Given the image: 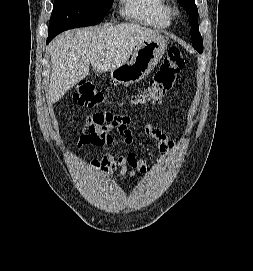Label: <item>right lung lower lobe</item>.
<instances>
[{
	"label": "right lung lower lobe",
	"instance_id": "right-lung-lower-lobe-1",
	"mask_svg": "<svg viewBox=\"0 0 253 271\" xmlns=\"http://www.w3.org/2000/svg\"><path fill=\"white\" fill-rule=\"evenodd\" d=\"M53 38L54 36H48L47 43H49V41H51Z\"/></svg>",
	"mask_w": 253,
	"mask_h": 271
}]
</instances>
